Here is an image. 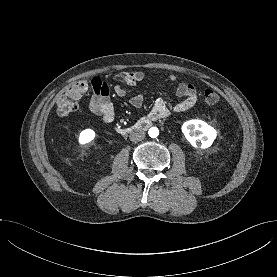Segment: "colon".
I'll list each match as a JSON object with an SVG mask.
<instances>
[{
    "label": "colon",
    "instance_id": "colon-1",
    "mask_svg": "<svg viewBox=\"0 0 277 277\" xmlns=\"http://www.w3.org/2000/svg\"><path fill=\"white\" fill-rule=\"evenodd\" d=\"M88 81H81L71 86L68 91L63 94L56 104L57 113L66 116L77 110V100L88 90ZM204 100L208 105H215L219 101V95L212 89L204 92Z\"/></svg>",
    "mask_w": 277,
    "mask_h": 277
}]
</instances>
